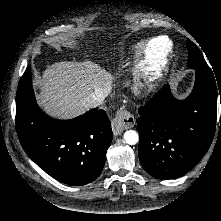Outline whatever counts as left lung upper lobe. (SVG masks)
Returning a JSON list of instances; mask_svg holds the SVG:
<instances>
[{
	"label": "left lung upper lobe",
	"mask_w": 221,
	"mask_h": 221,
	"mask_svg": "<svg viewBox=\"0 0 221 221\" xmlns=\"http://www.w3.org/2000/svg\"><path fill=\"white\" fill-rule=\"evenodd\" d=\"M187 48L189 51L188 65L194 69L210 70L199 48L190 40L187 42Z\"/></svg>",
	"instance_id": "5c2ea615"
}]
</instances>
